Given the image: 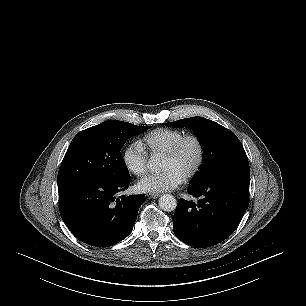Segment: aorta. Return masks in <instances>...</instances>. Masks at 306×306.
<instances>
[{
    "mask_svg": "<svg viewBox=\"0 0 306 306\" xmlns=\"http://www.w3.org/2000/svg\"><path fill=\"white\" fill-rule=\"evenodd\" d=\"M149 166L151 169H154L157 166V159L151 158ZM159 206L162 210L171 212L176 209L177 202L175 197L171 194H164L159 198Z\"/></svg>",
    "mask_w": 306,
    "mask_h": 306,
    "instance_id": "1",
    "label": "aorta"
}]
</instances>
